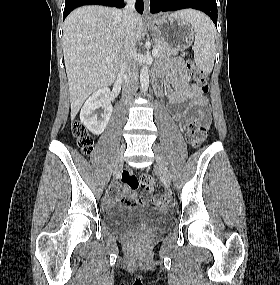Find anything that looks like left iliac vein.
I'll list each match as a JSON object with an SVG mask.
<instances>
[{"label":"left iliac vein","mask_w":280,"mask_h":285,"mask_svg":"<svg viewBox=\"0 0 280 285\" xmlns=\"http://www.w3.org/2000/svg\"><path fill=\"white\" fill-rule=\"evenodd\" d=\"M153 150H154V153H155L156 166L159 169V171L161 172L165 182L167 184H170L171 176H170V172H169V170L167 168L165 159H164L162 153L160 152L159 148L156 145L153 146Z\"/></svg>","instance_id":"1"}]
</instances>
